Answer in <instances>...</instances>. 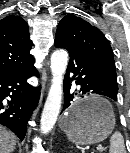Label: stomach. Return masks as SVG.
Instances as JSON below:
<instances>
[{
    "label": "stomach",
    "mask_w": 130,
    "mask_h": 153,
    "mask_svg": "<svg viewBox=\"0 0 130 153\" xmlns=\"http://www.w3.org/2000/svg\"><path fill=\"white\" fill-rule=\"evenodd\" d=\"M60 126L75 144L87 145L105 140L115 127L110 103L97 96L78 101L61 118Z\"/></svg>",
    "instance_id": "0dacf381"
}]
</instances>
